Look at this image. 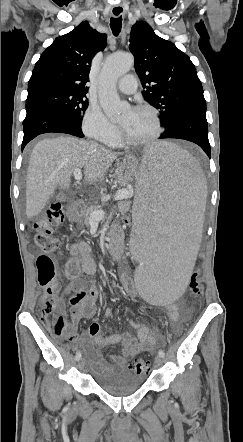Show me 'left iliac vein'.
I'll list each match as a JSON object with an SVG mask.
<instances>
[{"mask_svg":"<svg viewBox=\"0 0 243 442\" xmlns=\"http://www.w3.org/2000/svg\"><path fill=\"white\" fill-rule=\"evenodd\" d=\"M162 363H163V359H162V357H161L160 355H157V356L155 357V365H156L157 367H159V366L162 365Z\"/></svg>","mask_w":243,"mask_h":442,"instance_id":"left-iliac-vein-1","label":"left iliac vein"}]
</instances>
